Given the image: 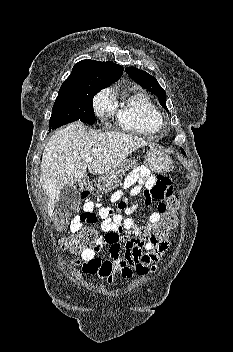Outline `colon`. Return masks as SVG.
Masks as SVG:
<instances>
[{"instance_id":"obj_1","label":"colon","mask_w":233,"mask_h":352,"mask_svg":"<svg viewBox=\"0 0 233 352\" xmlns=\"http://www.w3.org/2000/svg\"><path fill=\"white\" fill-rule=\"evenodd\" d=\"M87 193L83 192V196ZM180 202L178 197L171 196L167 202L159 206L161 218L149 232H140L135 234L128 232L129 241L142 246L159 247L168 243L171 230L177 227ZM67 224V216L59 215L55 221L56 230L63 229ZM99 243L97 232L92 227H85L76 234L63 238L60 241V246L63 250L77 254L86 249L95 247Z\"/></svg>"}]
</instances>
